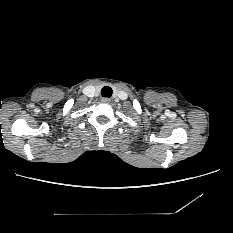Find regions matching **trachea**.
<instances>
[{
	"instance_id": "obj_1",
	"label": "trachea",
	"mask_w": 233,
	"mask_h": 233,
	"mask_svg": "<svg viewBox=\"0 0 233 233\" xmlns=\"http://www.w3.org/2000/svg\"><path fill=\"white\" fill-rule=\"evenodd\" d=\"M112 88L109 87V86H104L102 89H101V94L103 97H111L112 96Z\"/></svg>"
}]
</instances>
